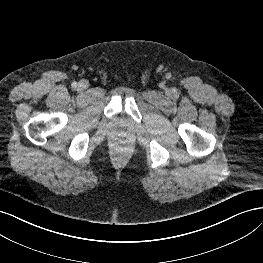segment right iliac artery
<instances>
[{
    "label": "right iliac artery",
    "mask_w": 263,
    "mask_h": 263,
    "mask_svg": "<svg viewBox=\"0 0 263 263\" xmlns=\"http://www.w3.org/2000/svg\"><path fill=\"white\" fill-rule=\"evenodd\" d=\"M72 87H73V88H76V87H77V83H76V82H73V83H72Z\"/></svg>",
    "instance_id": "82829eb1"
}]
</instances>
